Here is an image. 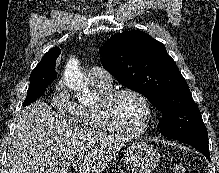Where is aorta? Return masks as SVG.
<instances>
[{"label": "aorta", "instance_id": "obj_1", "mask_svg": "<svg viewBox=\"0 0 219 173\" xmlns=\"http://www.w3.org/2000/svg\"><path fill=\"white\" fill-rule=\"evenodd\" d=\"M73 76L67 79V85L77 92H88V79L75 64L70 66Z\"/></svg>", "mask_w": 219, "mask_h": 173}]
</instances>
